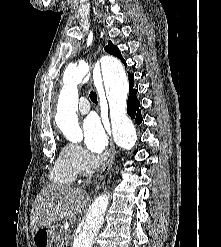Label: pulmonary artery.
<instances>
[{"label":"pulmonary artery","instance_id":"1","mask_svg":"<svg viewBox=\"0 0 221 247\" xmlns=\"http://www.w3.org/2000/svg\"><path fill=\"white\" fill-rule=\"evenodd\" d=\"M79 112L82 114H86L90 110V103L86 97H82L79 100V105H78Z\"/></svg>","mask_w":221,"mask_h":247}]
</instances>
